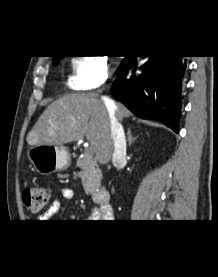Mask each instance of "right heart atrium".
Instances as JSON below:
<instances>
[{"label":"right heart atrium","mask_w":218,"mask_h":277,"mask_svg":"<svg viewBox=\"0 0 218 277\" xmlns=\"http://www.w3.org/2000/svg\"><path fill=\"white\" fill-rule=\"evenodd\" d=\"M108 77V62L104 55L84 54L75 58L68 85L79 91L100 87Z\"/></svg>","instance_id":"right-heart-atrium-1"}]
</instances>
